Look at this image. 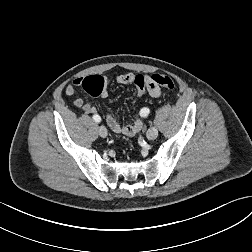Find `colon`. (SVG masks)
<instances>
[{
    "instance_id": "1",
    "label": "colon",
    "mask_w": 252,
    "mask_h": 252,
    "mask_svg": "<svg viewBox=\"0 0 252 252\" xmlns=\"http://www.w3.org/2000/svg\"><path fill=\"white\" fill-rule=\"evenodd\" d=\"M151 80L158 86H161L168 90L173 89L175 86L173 80L169 76H166V75L154 74L151 77ZM135 85L137 88V97H141L142 95H144L147 88L144 77L137 76ZM81 87L88 94L92 96H99L102 94L103 90L106 88V81L100 75H91V76L85 77L82 80Z\"/></svg>"
}]
</instances>
